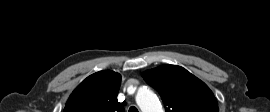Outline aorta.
<instances>
[{"instance_id":"obj_1","label":"aorta","mask_w":270,"mask_h":112,"mask_svg":"<svg viewBox=\"0 0 270 112\" xmlns=\"http://www.w3.org/2000/svg\"><path fill=\"white\" fill-rule=\"evenodd\" d=\"M136 102L142 112H164L156 94L147 87L139 88Z\"/></svg>"}]
</instances>
